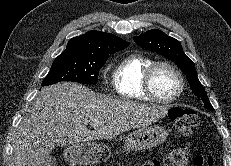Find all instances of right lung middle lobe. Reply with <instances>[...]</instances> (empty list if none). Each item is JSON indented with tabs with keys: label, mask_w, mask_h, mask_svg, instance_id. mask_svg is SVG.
Wrapping results in <instances>:
<instances>
[{
	"label": "right lung middle lobe",
	"mask_w": 231,
	"mask_h": 166,
	"mask_svg": "<svg viewBox=\"0 0 231 166\" xmlns=\"http://www.w3.org/2000/svg\"><path fill=\"white\" fill-rule=\"evenodd\" d=\"M109 55L88 56L73 52H63L53 62L51 69L42 82V86L61 81L93 84L98 82L99 70Z\"/></svg>",
	"instance_id": "right-lung-middle-lobe-1"
}]
</instances>
